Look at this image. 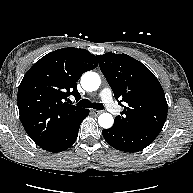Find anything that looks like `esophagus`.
<instances>
[{"mask_svg":"<svg viewBox=\"0 0 193 193\" xmlns=\"http://www.w3.org/2000/svg\"><path fill=\"white\" fill-rule=\"evenodd\" d=\"M90 112H91V114L96 115V116L101 113V111L96 110V109H91Z\"/></svg>","mask_w":193,"mask_h":193,"instance_id":"34e87169","label":"esophagus"}]
</instances>
